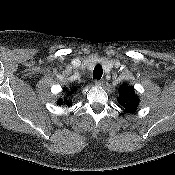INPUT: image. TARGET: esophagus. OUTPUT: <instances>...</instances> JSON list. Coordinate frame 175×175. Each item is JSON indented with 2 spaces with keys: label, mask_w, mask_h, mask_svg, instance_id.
Returning a JSON list of instances; mask_svg holds the SVG:
<instances>
[{
  "label": "esophagus",
  "mask_w": 175,
  "mask_h": 175,
  "mask_svg": "<svg viewBox=\"0 0 175 175\" xmlns=\"http://www.w3.org/2000/svg\"><path fill=\"white\" fill-rule=\"evenodd\" d=\"M104 80L103 79H100V80H95V85L97 86H102L104 84Z\"/></svg>",
  "instance_id": "esophagus-1"
}]
</instances>
